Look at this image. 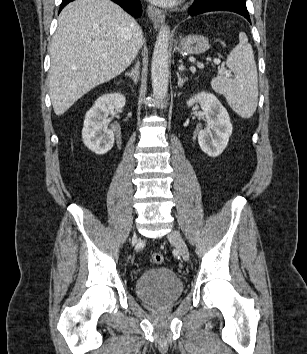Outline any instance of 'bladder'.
<instances>
[{"instance_id": "bladder-1", "label": "bladder", "mask_w": 307, "mask_h": 354, "mask_svg": "<svg viewBox=\"0 0 307 354\" xmlns=\"http://www.w3.org/2000/svg\"><path fill=\"white\" fill-rule=\"evenodd\" d=\"M183 291L182 280L168 267L148 269L135 281L136 295L154 307L172 305L181 297Z\"/></svg>"}]
</instances>
